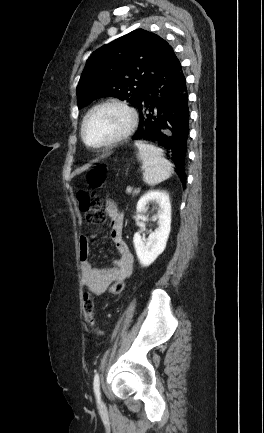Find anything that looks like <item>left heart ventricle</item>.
Listing matches in <instances>:
<instances>
[{
    "mask_svg": "<svg viewBox=\"0 0 264 433\" xmlns=\"http://www.w3.org/2000/svg\"><path fill=\"white\" fill-rule=\"evenodd\" d=\"M128 122L127 114L117 107H104L88 119L85 135L90 143L97 144L121 133Z\"/></svg>",
    "mask_w": 264,
    "mask_h": 433,
    "instance_id": "obj_1",
    "label": "left heart ventricle"
}]
</instances>
